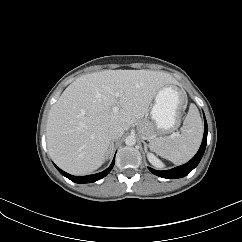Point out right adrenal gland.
Wrapping results in <instances>:
<instances>
[{"label": "right adrenal gland", "mask_w": 242, "mask_h": 242, "mask_svg": "<svg viewBox=\"0 0 242 242\" xmlns=\"http://www.w3.org/2000/svg\"><path fill=\"white\" fill-rule=\"evenodd\" d=\"M115 140H112L109 146V151L113 150Z\"/></svg>", "instance_id": "right-adrenal-gland-1"}]
</instances>
